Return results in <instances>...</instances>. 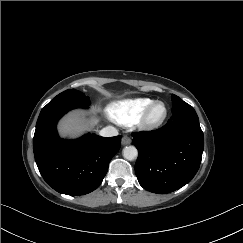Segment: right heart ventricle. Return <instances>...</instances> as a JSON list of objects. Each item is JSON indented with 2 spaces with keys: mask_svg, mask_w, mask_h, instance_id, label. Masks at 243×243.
I'll use <instances>...</instances> for the list:
<instances>
[{
  "mask_svg": "<svg viewBox=\"0 0 243 243\" xmlns=\"http://www.w3.org/2000/svg\"><path fill=\"white\" fill-rule=\"evenodd\" d=\"M153 102V99L147 97L128 99L109 105L106 111L116 123L129 126L139 121L144 111Z\"/></svg>",
  "mask_w": 243,
  "mask_h": 243,
  "instance_id": "1",
  "label": "right heart ventricle"
}]
</instances>
